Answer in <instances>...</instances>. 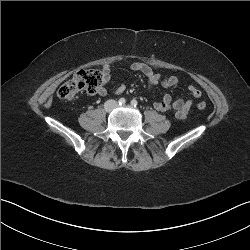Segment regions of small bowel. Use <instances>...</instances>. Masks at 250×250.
Listing matches in <instances>:
<instances>
[{
	"instance_id": "small-bowel-1",
	"label": "small bowel",
	"mask_w": 250,
	"mask_h": 250,
	"mask_svg": "<svg viewBox=\"0 0 250 250\" xmlns=\"http://www.w3.org/2000/svg\"><path fill=\"white\" fill-rule=\"evenodd\" d=\"M130 70L132 72L141 73L147 77L150 89H153L157 85L170 88L176 86L179 82L178 77L163 76L154 72L149 65L142 62L132 63L130 65ZM101 73L103 76V83L98 87L96 92L100 96H106L107 89L105 85L111 81V67L107 64L104 65ZM124 90L125 85L121 84L115 89L114 94L119 95L123 93ZM188 91L190 96L187 99H177L173 101L170 95L165 94L160 100L154 102L153 106L159 112L173 111L178 119H185L189 114L193 101L199 99L201 96L200 90L194 85L189 86Z\"/></svg>"
}]
</instances>
